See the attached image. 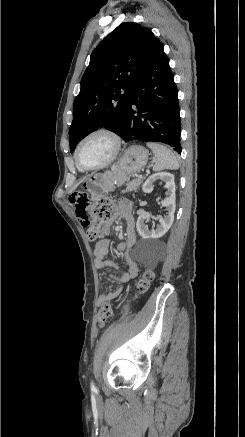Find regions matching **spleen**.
I'll list each match as a JSON object with an SVG mask.
<instances>
[{
	"mask_svg": "<svg viewBox=\"0 0 245 437\" xmlns=\"http://www.w3.org/2000/svg\"><path fill=\"white\" fill-rule=\"evenodd\" d=\"M146 145L152 150L156 157L153 171L158 172L165 169L176 170L179 168L178 156L168 147L153 142H148Z\"/></svg>",
	"mask_w": 245,
	"mask_h": 437,
	"instance_id": "1",
	"label": "spleen"
}]
</instances>
